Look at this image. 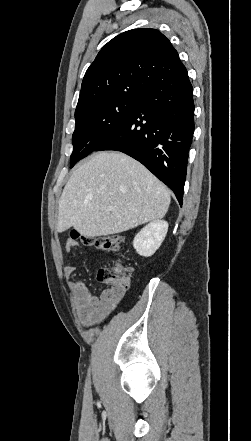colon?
Masks as SVG:
<instances>
[{
  "label": "colon",
  "mask_w": 251,
  "mask_h": 441,
  "mask_svg": "<svg viewBox=\"0 0 251 441\" xmlns=\"http://www.w3.org/2000/svg\"><path fill=\"white\" fill-rule=\"evenodd\" d=\"M78 238L87 246L111 252L119 251L124 244V238L119 235L80 236L79 233L73 232L70 240ZM132 272L133 269L129 266L115 264L100 269L98 276L100 281L109 284L111 288L125 292L131 284Z\"/></svg>",
  "instance_id": "colon-1"
}]
</instances>
